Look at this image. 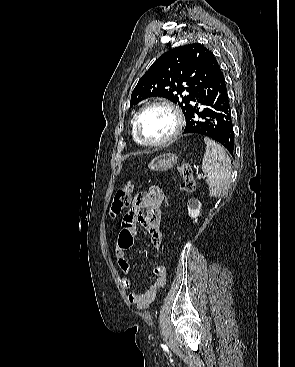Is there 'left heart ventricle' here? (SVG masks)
<instances>
[{"mask_svg":"<svg viewBox=\"0 0 295 367\" xmlns=\"http://www.w3.org/2000/svg\"><path fill=\"white\" fill-rule=\"evenodd\" d=\"M139 127L144 139L158 141L166 138L173 132L175 119L168 109L153 107L143 113Z\"/></svg>","mask_w":295,"mask_h":367,"instance_id":"b2bd125f","label":"left heart ventricle"}]
</instances>
